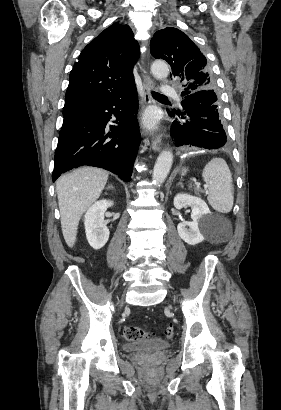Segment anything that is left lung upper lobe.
Returning a JSON list of instances; mask_svg holds the SVG:
<instances>
[{"label": "left lung upper lobe", "mask_w": 281, "mask_h": 410, "mask_svg": "<svg viewBox=\"0 0 281 410\" xmlns=\"http://www.w3.org/2000/svg\"><path fill=\"white\" fill-rule=\"evenodd\" d=\"M154 58L171 66V77L184 88L181 96L200 90H215V80L205 56L182 31L167 27L154 34L150 42Z\"/></svg>", "instance_id": "left-lung-upper-lobe-1"}]
</instances>
